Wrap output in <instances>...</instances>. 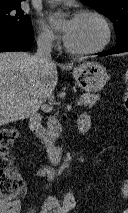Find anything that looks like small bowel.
Listing matches in <instances>:
<instances>
[{
  "instance_id": "small-bowel-1",
  "label": "small bowel",
  "mask_w": 128,
  "mask_h": 213,
  "mask_svg": "<svg viewBox=\"0 0 128 213\" xmlns=\"http://www.w3.org/2000/svg\"><path fill=\"white\" fill-rule=\"evenodd\" d=\"M36 176L41 182L43 190H48L54 181L55 170L50 166H43L38 169ZM61 200L53 195L43 196L40 204H34L28 213H60ZM21 204L19 201L0 200V213H20Z\"/></svg>"
}]
</instances>
